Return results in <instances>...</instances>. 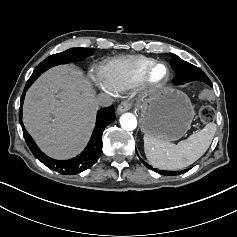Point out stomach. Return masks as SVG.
Returning a JSON list of instances; mask_svg holds the SVG:
<instances>
[{
    "instance_id": "1",
    "label": "stomach",
    "mask_w": 237,
    "mask_h": 237,
    "mask_svg": "<svg viewBox=\"0 0 237 237\" xmlns=\"http://www.w3.org/2000/svg\"><path fill=\"white\" fill-rule=\"evenodd\" d=\"M136 108L141 111V131L167 142L183 137L195 115L189 97L172 87L142 96Z\"/></svg>"
}]
</instances>
